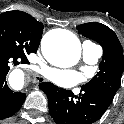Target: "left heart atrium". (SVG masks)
<instances>
[{"instance_id":"39dd6f15","label":"left heart atrium","mask_w":124,"mask_h":124,"mask_svg":"<svg viewBox=\"0 0 124 124\" xmlns=\"http://www.w3.org/2000/svg\"><path fill=\"white\" fill-rule=\"evenodd\" d=\"M45 75L55 85L63 88L73 87L84 80L81 73L71 69L48 68Z\"/></svg>"}]
</instances>
